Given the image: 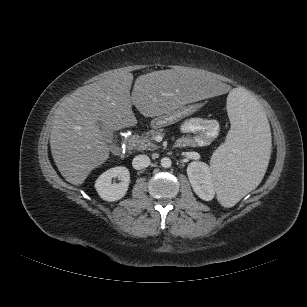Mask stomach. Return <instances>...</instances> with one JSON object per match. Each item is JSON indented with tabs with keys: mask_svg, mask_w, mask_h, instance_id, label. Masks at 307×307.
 I'll return each mask as SVG.
<instances>
[{
	"mask_svg": "<svg viewBox=\"0 0 307 307\" xmlns=\"http://www.w3.org/2000/svg\"><path fill=\"white\" fill-rule=\"evenodd\" d=\"M197 108V105L181 107L178 110L157 116L156 118L152 119L150 125L152 128L159 129L174 124L193 113Z\"/></svg>",
	"mask_w": 307,
	"mask_h": 307,
	"instance_id": "1",
	"label": "stomach"
}]
</instances>
